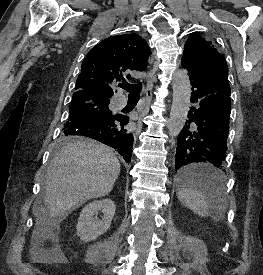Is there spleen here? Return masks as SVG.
<instances>
[{"instance_id": "obj_1", "label": "spleen", "mask_w": 263, "mask_h": 275, "mask_svg": "<svg viewBox=\"0 0 263 275\" xmlns=\"http://www.w3.org/2000/svg\"><path fill=\"white\" fill-rule=\"evenodd\" d=\"M199 167L215 172L220 178L218 187L212 196L213 201L217 204V211L219 212V216L216 218V220H221L223 218V212L226 208L225 174L222 171L211 168L206 164H201ZM177 197L185 207L192 210L198 216H208L211 201L200 189L196 188L193 184L182 183L177 190Z\"/></svg>"}]
</instances>
